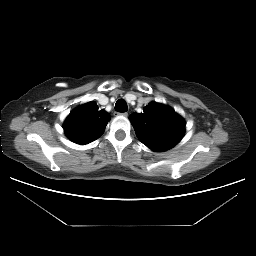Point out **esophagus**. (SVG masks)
I'll return each instance as SVG.
<instances>
[{"label": "esophagus", "instance_id": "esophagus-1", "mask_svg": "<svg viewBox=\"0 0 256 256\" xmlns=\"http://www.w3.org/2000/svg\"><path fill=\"white\" fill-rule=\"evenodd\" d=\"M119 115H122V116L127 117V116H128V113H120Z\"/></svg>", "mask_w": 256, "mask_h": 256}]
</instances>
